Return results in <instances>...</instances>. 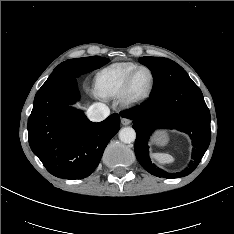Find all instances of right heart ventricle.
Returning <instances> with one entry per match:
<instances>
[{
	"label": "right heart ventricle",
	"instance_id": "right-heart-ventricle-1",
	"mask_svg": "<svg viewBox=\"0 0 234 234\" xmlns=\"http://www.w3.org/2000/svg\"><path fill=\"white\" fill-rule=\"evenodd\" d=\"M138 65L133 63H116L100 70L95 77L98 95L104 98L118 97L130 73Z\"/></svg>",
	"mask_w": 234,
	"mask_h": 234
}]
</instances>
